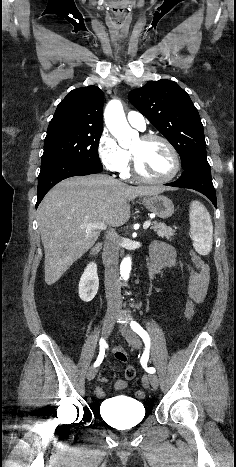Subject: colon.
Listing matches in <instances>:
<instances>
[{"label":"colon","mask_w":236,"mask_h":467,"mask_svg":"<svg viewBox=\"0 0 236 467\" xmlns=\"http://www.w3.org/2000/svg\"><path fill=\"white\" fill-rule=\"evenodd\" d=\"M191 258H192L193 264L195 265L197 269H200L202 265L204 264L202 258L195 252H191ZM185 316L188 320L192 319L194 316V306L191 301H188L186 304ZM115 358L119 361H124L126 359V355L122 352H118ZM144 385H146L145 381H144ZM137 396L143 397L144 393L142 391H139L137 393Z\"/></svg>","instance_id":"colon-1"}]
</instances>
